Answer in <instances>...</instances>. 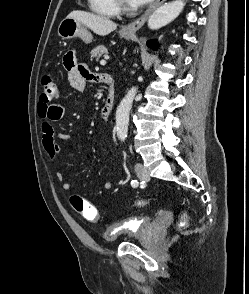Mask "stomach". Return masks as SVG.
<instances>
[{"instance_id":"stomach-1","label":"stomach","mask_w":249,"mask_h":294,"mask_svg":"<svg viewBox=\"0 0 249 294\" xmlns=\"http://www.w3.org/2000/svg\"><path fill=\"white\" fill-rule=\"evenodd\" d=\"M120 36L125 39H130L132 33L121 30L119 32ZM58 35L63 40H70L75 37L80 38L85 43H90L92 41V36L90 32L82 25L79 21L66 17L64 18L58 26Z\"/></svg>"}]
</instances>
